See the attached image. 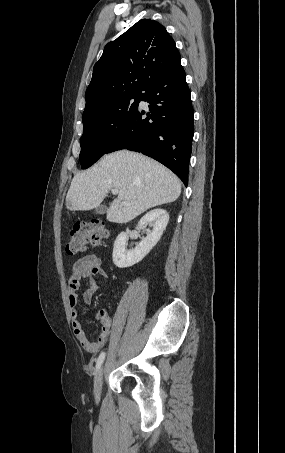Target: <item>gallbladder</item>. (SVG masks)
Listing matches in <instances>:
<instances>
[{
	"mask_svg": "<svg viewBox=\"0 0 285 453\" xmlns=\"http://www.w3.org/2000/svg\"><path fill=\"white\" fill-rule=\"evenodd\" d=\"M107 206L105 205H100L98 207L95 208V213L96 214H105L107 212Z\"/></svg>",
	"mask_w": 285,
	"mask_h": 453,
	"instance_id": "gallbladder-1",
	"label": "gallbladder"
}]
</instances>
